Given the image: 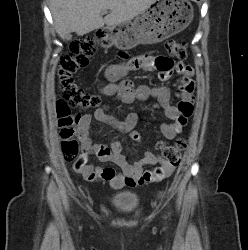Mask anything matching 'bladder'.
I'll return each instance as SVG.
<instances>
[{"mask_svg": "<svg viewBox=\"0 0 248 250\" xmlns=\"http://www.w3.org/2000/svg\"><path fill=\"white\" fill-rule=\"evenodd\" d=\"M140 203V196L135 191L124 190L115 192L111 196V205L118 211L129 212L136 209Z\"/></svg>", "mask_w": 248, "mask_h": 250, "instance_id": "31cf9c89", "label": "bladder"}]
</instances>
